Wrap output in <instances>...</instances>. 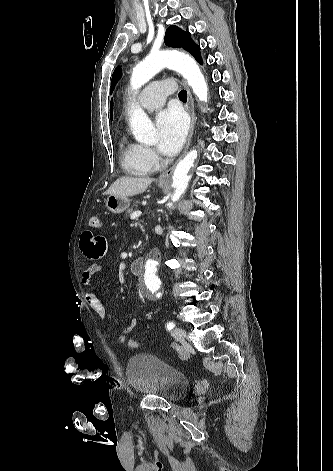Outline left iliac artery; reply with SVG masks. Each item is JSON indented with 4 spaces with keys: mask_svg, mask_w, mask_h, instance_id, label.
Returning a JSON list of instances; mask_svg holds the SVG:
<instances>
[{
    "mask_svg": "<svg viewBox=\"0 0 333 471\" xmlns=\"http://www.w3.org/2000/svg\"><path fill=\"white\" fill-rule=\"evenodd\" d=\"M174 326H175V324H174V322H173V321H170V322H168V323H167V325H166V327H167V329H168V330H171V329H173V328H174Z\"/></svg>",
    "mask_w": 333,
    "mask_h": 471,
    "instance_id": "1",
    "label": "left iliac artery"
}]
</instances>
